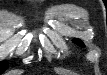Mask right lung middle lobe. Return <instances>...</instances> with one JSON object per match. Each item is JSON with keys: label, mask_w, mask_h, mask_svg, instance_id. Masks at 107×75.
<instances>
[{"label": "right lung middle lobe", "mask_w": 107, "mask_h": 75, "mask_svg": "<svg viewBox=\"0 0 107 75\" xmlns=\"http://www.w3.org/2000/svg\"><path fill=\"white\" fill-rule=\"evenodd\" d=\"M7 68V62L3 61L0 63V73L4 72L5 69Z\"/></svg>", "instance_id": "dd1d6c3e"}]
</instances>
